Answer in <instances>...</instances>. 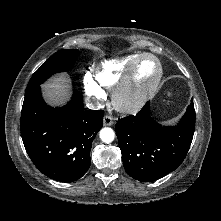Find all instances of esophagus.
<instances>
[{"mask_svg": "<svg viewBox=\"0 0 221 221\" xmlns=\"http://www.w3.org/2000/svg\"><path fill=\"white\" fill-rule=\"evenodd\" d=\"M103 122L105 126H111L114 123V119L109 115H105L103 118Z\"/></svg>", "mask_w": 221, "mask_h": 221, "instance_id": "esophagus-1", "label": "esophagus"}]
</instances>
